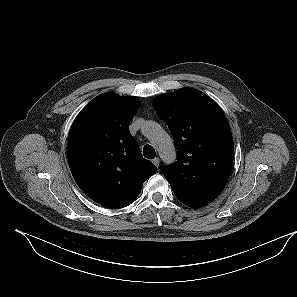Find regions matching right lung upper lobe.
Returning a JSON list of instances; mask_svg holds the SVG:
<instances>
[{
    "label": "right lung upper lobe",
    "mask_w": 297,
    "mask_h": 297,
    "mask_svg": "<svg viewBox=\"0 0 297 297\" xmlns=\"http://www.w3.org/2000/svg\"><path fill=\"white\" fill-rule=\"evenodd\" d=\"M139 99L103 93L74 120L68 140V163L80 189L112 209L130 205L156 166L144 159L129 131Z\"/></svg>",
    "instance_id": "obj_1"
}]
</instances>
